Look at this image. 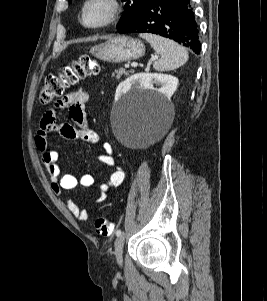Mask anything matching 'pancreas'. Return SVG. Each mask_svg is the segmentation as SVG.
I'll use <instances>...</instances> for the list:
<instances>
[{
  "label": "pancreas",
  "mask_w": 267,
  "mask_h": 301,
  "mask_svg": "<svg viewBox=\"0 0 267 301\" xmlns=\"http://www.w3.org/2000/svg\"><path fill=\"white\" fill-rule=\"evenodd\" d=\"M122 75H128V72H126L123 68L115 70V72L112 74V76L116 79H120Z\"/></svg>",
  "instance_id": "cf45deb5"
}]
</instances>
